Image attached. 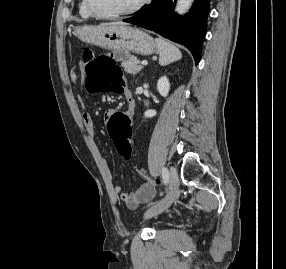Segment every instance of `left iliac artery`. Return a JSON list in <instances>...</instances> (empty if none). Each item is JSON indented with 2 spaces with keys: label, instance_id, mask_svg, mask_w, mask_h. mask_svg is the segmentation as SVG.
Listing matches in <instances>:
<instances>
[{
  "label": "left iliac artery",
  "instance_id": "44dca946",
  "mask_svg": "<svg viewBox=\"0 0 286 269\" xmlns=\"http://www.w3.org/2000/svg\"><path fill=\"white\" fill-rule=\"evenodd\" d=\"M162 177H163V181L165 184H167L169 182V172L167 168H163L162 169Z\"/></svg>",
  "mask_w": 286,
  "mask_h": 269
}]
</instances>
